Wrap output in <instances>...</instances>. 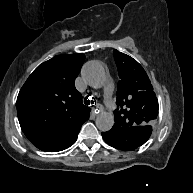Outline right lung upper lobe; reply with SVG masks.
I'll use <instances>...</instances> for the list:
<instances>
[{
  "label": "right lung upper lobe",
  "instance_id": "obj_1",
  "mask_svg": "<svg viewBox=\"0 0 193 193\" xmlns=\"http://www.w3.org/2000/svg\"><path fill=\"white\" fill-rule=\"evenodd\" d=\"M83 54L58 55L39 65L21 88L17 113L22 131L39 149L57 152L77 139L90 108L83 105L74 81Z\"/></svg>",
  "mask_w": 193,
  "mask_h": 193
}]
</instances>
